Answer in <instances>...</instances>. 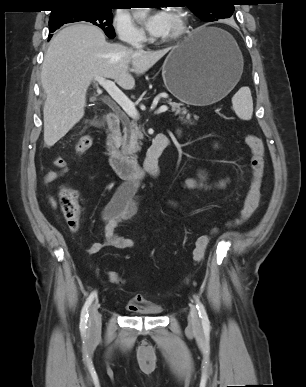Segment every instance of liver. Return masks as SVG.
<instances>
[{"label":"liver","instance_id":"6515ba94","mask_svg":"<svg viewBox=\"0 0 306 387\" xmlns=\"http://www.w3.org/2000/svg\"><path fill=\"white\" fill-rule=\"evenodd\" d=\"M171 49L143 51L108 43L102 30L91 24L62 29L51 39L41 69L47 96L43 108L45 144L53 146L83 118L87 89L95 77L113 79L121 88L131 90L135 79L130 70L137 75L145 73Z\"/></svg>","mask_w":306,"mask_h":387}]
</instances>
